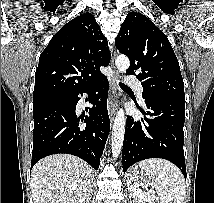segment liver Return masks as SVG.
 Wrapping results in <instances>:
<instances>
[{"instance_id":"1","label":"liver","mask_w":214,"mask_h":203,"mask_svg":"<svg viewBox=\"0 0 214 203\" xmlns=\"http://www.w3.org/2000/svg\"><path fill=\"white\" fill-rule=\"evenodd\" d=\"M92 183L91 167L69 154L41 159L31 174L34 203H89Z\"/></svg>"}]
</instances>
